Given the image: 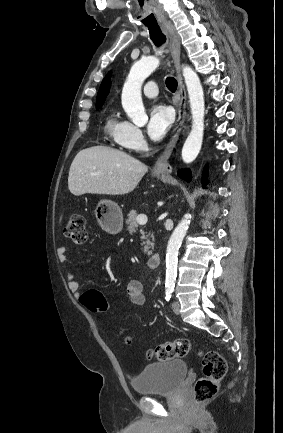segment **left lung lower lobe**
<instances>
[{
  "mask_svg": "<svg viewBox=\"0 0 283 433\" xmlns=\"http://www.w3.org/2000/svg\"><path fill=\"white\" fill-rule=\"evenodd\" d=\"M206 173H207V167L204 169V174H203V176H205ZM178 176H179L180 178H182V179L188 181V182L191 180V172H190L189 169L180 170V171L178 172ZM206 183H207V180H206L205 177H203V178H202V184L205 185Z\"/></svg>",
  "mask_w": 283,
  "mask_h": 433,
  "instance_id": "obj_1",
  "label": "left lung lower lobe"
}]
</instances>
